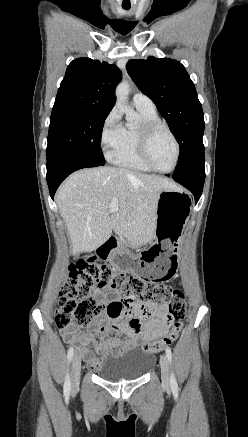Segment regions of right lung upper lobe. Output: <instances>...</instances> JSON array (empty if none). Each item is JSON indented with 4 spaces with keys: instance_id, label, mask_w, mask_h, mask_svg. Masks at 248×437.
Here are the masks:
<instances>
[{
    "instance_id": "right-lung-upper-lobe-1",
    "label": "right lung upper lobe",
    "mask_w": 248,
    "mask_h": 437,
    "mask_svg": "<svg viewBox=\"0 0 248 437\" xmlns=\"http://www.w3.org/2000/svg\"><path fill=\"white\" fill-rule=\"evenodd\" d=\"M122 73L114 64L89 58L73 60L60 84L54 105L110 113Z\"/></svg>"
}]
</instances>
